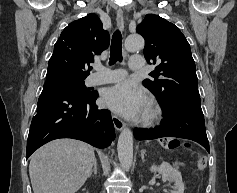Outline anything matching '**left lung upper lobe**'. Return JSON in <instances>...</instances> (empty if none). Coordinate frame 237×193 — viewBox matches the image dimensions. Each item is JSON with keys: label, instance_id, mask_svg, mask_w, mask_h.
<instances>
[{"label": "left lung upper lobe", "instance_id": "obj_1", "mask_svg": "<svg viewBox=\"0 0 237 193\" xmlns=\"http://www.w3.org/2000/svg\"><path fill=\"white\" fill-rule=\"evenodd\" d=\"M137 32L145 39L146 59L156 64L150 73L154 80L146 79L143 85L159 104L168 110L200 105L195 63L190 45L179 28L164 18L148 14Z\"/></svg>", "mask_w": 237, "mask_h": 193}]
</instances>
